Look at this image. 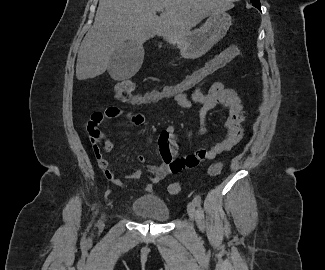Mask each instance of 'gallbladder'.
Listing matches in <instances>:
<instances>
[{"label": "gallbladder", "mask_w": 325, "mask_h": 270, "mask_svg": "<svg viewBox=\"0 0 325 270\" xmlns=\"http://www.w3.org/2000/svg\"><path fill=\"white\" fill-rule=\"evenodd\" d=\"M143 58V46L128 40L119 46L111 56L108 72L116 80L130 78L141 67Z\"/></svg>", "instance_id": "bac80fb5"}]
</instances>
